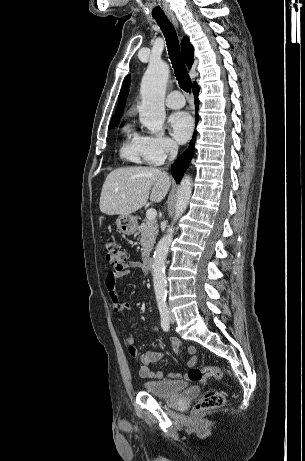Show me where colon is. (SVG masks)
<instances>
[{"instance_id":"colon-1","label":"colon","mask_w":305,"mask_h":461,"mask_svg":"<svg viewBox=\"0 0 305 461\" xmlns=\"http://www.w3.org/2000/svg\"><path fill=\"white\" fill-rule=\"evenodd\" d=\"M106 259L115 269H122L127 261V252L123 246L116 241L105 243ZM223 371L215 366H204L192 368L188 372V379L191 382H203L209 378L222 379ZM226 393L224 390H210L206 392L196 403L195 412H204L220 408L224 405Z\"/></svg>"}]
</instances>
